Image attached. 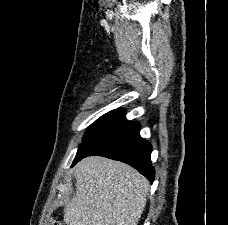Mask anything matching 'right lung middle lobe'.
Returning a JSON list of instances; mask_svg holds the SVG:
<instances>
[{
    "instance_id": "obj_1",
    "label": "right lung middle lobe",
    "mask_w": 228,
    "mask_h": 225,
    "mask_svg": "<svg viewBox=\"0 0 228 225\" xmlns=\"http://www.w3.org/2000/svg\"><path fill=\"white\" fill-rule=\"evenodd\" d=\"M119 111H121V109L118 110H113L105 115H103L102 117H100L97 121H95L86 131L83 140L92 132L94 131L97 127H99L101 124H103L105 121H107L108 119H110L111 117H113L115 114H117Z\"/></svg>"
}]
</instances>
